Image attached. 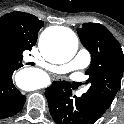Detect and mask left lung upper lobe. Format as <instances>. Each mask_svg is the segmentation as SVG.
Listing matches in <instances>:
<instances>
[{"mask_svg": "<svg viewBox=\"0 0 124 124\" xmlns=\"http://www.w3.org/2000/svg\"><path fill=\"white\" fill-rule=\"evenodd\" d=\"M82 45L92 56L89 76L90 87L83 96L100 118L111 105L124 71V54L119 42L99 23H84L77 30Z\"/></svg>", "mask_w": 124, "mask_h": 124, "instance_id": "5c2ea615", "label": "left lung upper lobe"}]
</instances>
